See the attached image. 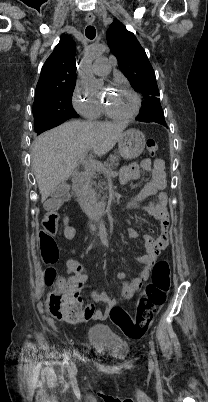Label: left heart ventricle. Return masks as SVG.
<instances>
[{
  "mask_svg": "<svg viewBox=\"0 0 208 402\" xmlns=\"http://www.w3.org/2000/svg\"><path fill=\"white\" fill-rule=\"evenodd\" d=\"M100 89L101 85L96 92V96L100 95ZM105 99L112 109L120 114H128L132 112L136 104L135 98L130 93L120 89L113 95L105 96Z\"/></svg>",
  "mask_w": 208,
  "mask_h": 402,
  "instance_id": "left-heart-ventricle-1",
  "label": "left heart ventricle"
}]
</instances>
